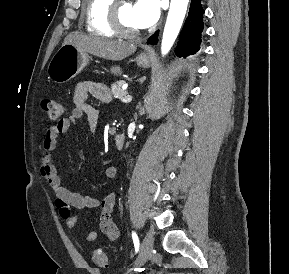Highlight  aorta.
<instances>
[{
  "instance_id": "1",
  "label": "aorta",
  "mask_w": 289,
  "mask_h": 274,
  "mask_svg": "<svg viewBox=\"0 0 289 274\" xmlns=\"http://www.w3.org/2000/svg\"><path fill=\"white\" fill-rule=\"evenodd\" d=\"M189 0H171L164 27L161 53L166 55L173 46L183 24Z\"/></svg>"
}]
</instances>
